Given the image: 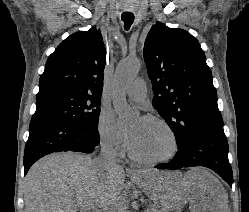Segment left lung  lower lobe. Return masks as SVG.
Returning <instances> with one entry per match:
<instances>
[{"label": "left lung lower lobe", "mask_w": 249, "mask_h": 212, "mask_svg": "<svg viewBox=\"0 0 249 212\" xmlns=\"http://www.w3.org/2000/svg\"><path fill=\"white\" fill-rule=\"evenodd\" d=\"M228 142L223 127L202 128L190 133L186 142L178 147L174 159L155 166L158 169H179L204 166L215 171L230 186L233 173L228 161Z\"/></svg>", "instance_id": "obj_1"}]
</instances>
